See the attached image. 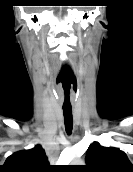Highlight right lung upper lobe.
Listing matches in <instances>:
<instances>
[{
	"mask_svg": "<svg viewBox=\"0 0 133 172\" xmlns=\"http://www.w3.org/2000/svg\"><path fill=\"white\" fill-rule=\"evenodd\" d=\"M50 165L44 149L36 145L33 149L22 150L9 156L0 172H49Z\"/></svg>",
	"mask_w": 133,
	"mask_h": 172,
	"instance_id": "obj_1",
	"label": "right lung upper lobe"
}]
</instances>
